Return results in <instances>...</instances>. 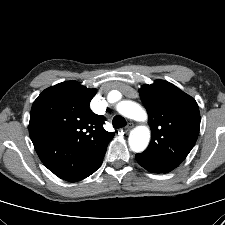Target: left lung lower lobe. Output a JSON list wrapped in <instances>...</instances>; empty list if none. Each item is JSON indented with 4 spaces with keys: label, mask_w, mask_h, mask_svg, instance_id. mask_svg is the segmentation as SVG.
<instances>
[{
    "label": "left lung lower lobe",
    "mask_w": 225,
    "mask_h": 225,
    "mask_svg": "<svg viewBox=\"0 0 225 225\" xmlns=\"http://www.w3.org/2000/svg\"><path fill=\"white\" fill-rule=\"evenodd\" d=\"M135 158L137 162L146 170L153 173H167L173 170L170 167L164 166L160 163H157L141 154H136Z\"/></svg>",
    "instance_id": "left-lung-lower-lobe-1"
}]
</instances>
